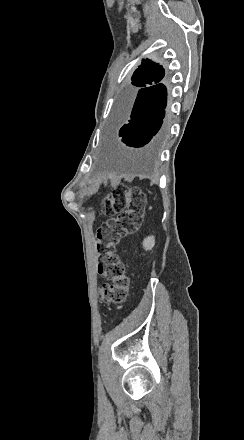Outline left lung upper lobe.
Returning <instances> with one entry per match:
<instances>
[{
  "mask_svg": "<svg viewBox=\"0 0 244 440\" xmlns=\"http://www.w3.org/2000/svg\"><path fill=\"white\" fill-rule=\"evenodd\" d=\"M164 75L165 70L161 65L147 59L135 70L131 78L132 85L137 88L152 85L161 81Z\"/></svg>",
  "mask_w": 244,
  "mask_h": 440,
  "instance_id": "1",
  "label": "left lung upper lobe"
}]
</instances>
